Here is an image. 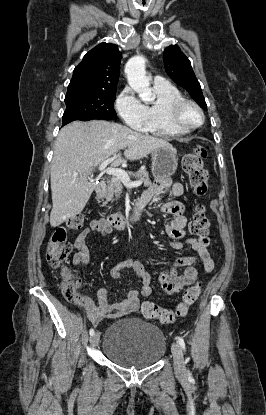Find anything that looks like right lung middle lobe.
Wrapping results in <instances>:
<instances>
[{
	"mask_svg": "<svg viewBox=\"0 0 266 415\" xmlns=\"http://www.w3.org/2000/svg\"><path fill=\"white\" fill-rule=\"evenodd\" d=\"M116 90L67 92L65 96L66 110L63 123L74 120L89 121L92 119L115 120L114 110Z\"/></svg>",
	"mask_w": 266,
	"mask_h": 415,
	"instance_id": "1",
	"label": "right lung middle lobe"
}]
</instances>
